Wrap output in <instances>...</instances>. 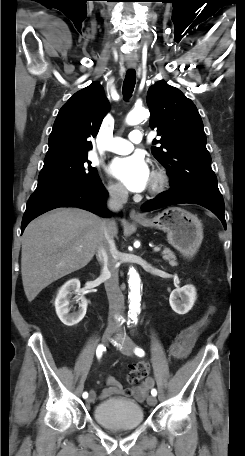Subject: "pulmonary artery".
<instances>
[{
  "mask_svg": "<svg viewBox=\"0 0 245 456\" xmlns=\"http://www.w3.org/2000/svg\"><path fill=\"white\" fill-rule=\"evenodd\" d=\"M141 140V131L133 130L130 132L128 139L120 137L112 138L105 149L117 154H127L133 150L134 144L140 143Z\"/></svg>",
  "mask_w": 245,
  "mask_h": 456,
  "instance_id": "e3ab8cb5",
  "label": "pulmonary artery"
}]
</instances>
